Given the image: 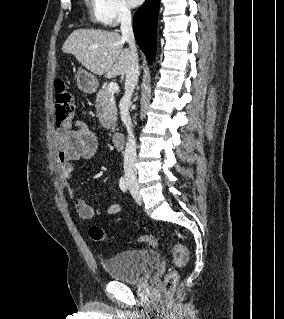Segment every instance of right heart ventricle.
I'll list each match as a JSON object with an SVG mask.
<instances>
[{"label":"right heart ventricle","mask_w":284,"mask_h":319,"mask_svg":"<svg viewBox=\"0 0 284 319\" xmlns=\"http://www.w3.org/2000/svg\"><path fill=\"white\" fill-rule=\"evenodd\" d=\"M85 2H86V5H87V7L89 9V12H90L91 16L95 20L99 21L98 20V15H97V2H96V0H85Z\"/></svg>","instance_id":"right-heart-ventricle-1"}]
</instances>
